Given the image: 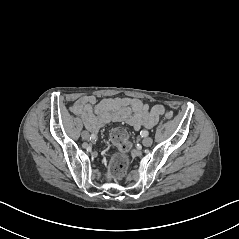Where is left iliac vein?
<instances>
[{"label":"left iliac vein","mask_w":239,"mask_h":239,"mask_svg":"<svg viewBox=\"0 0 239 239\" xmlns=\"http://www.w3.org/2000/svg\"><path fill=\"white\" fill-rule=\"evenodd\" d=\"M153 143V139L151 137H145L143 140H142V144L146 147H149L151 146Z\"/></svg>","instance_id":"left-iliac-vein-1"}]
</instances>
